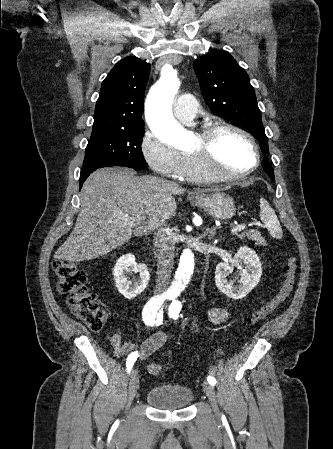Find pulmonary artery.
I'll use <instances>...</instances> for the list:
<instances>
[{
    "label": "pulmonary artery",
    "mask_w": 333,
    "mask_h": 449,
    "mask_svg": "<svg viewBox=\"0 0 333 449\" xmlns=\"http://www.w3.org/2000/svg\"><path fill=\"white\" fill-rule=\"evenodd\" d=\"M176 119L185 124H191L197 115V102L190 94L178 97L174 105Z\"/></svg>",
    "instance_id": "1"
}]
</instances>
